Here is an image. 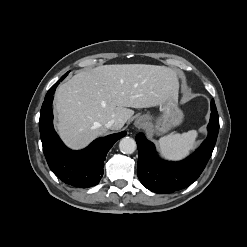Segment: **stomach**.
Instances as JSON below:
<instances>
[{"label":"stomach","instance_id":"stomach-1","mask_svg":"<svg viewBox=\"0 0 247 247\" xmlns=\"http://www.w3.org/2000/svg\"><path fill=\"white\" fill-rule=\"evenodd\" d=\"M160 115L153 121L150 115H144L153 134H164L183 121V112L178 107V95L169 97L159 104Z\"/></svg>","mask_w":247,"mask_h":247}]
</instances>
